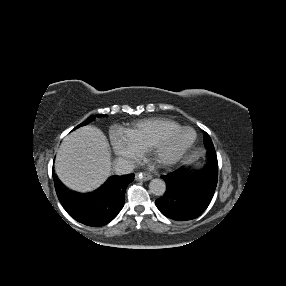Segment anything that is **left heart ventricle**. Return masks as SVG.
<instances>
[{
	"label": "left heart ventricle",
	"mask_w": 286,
	"mask_h": 286,
	"mask_svg": "<svg viewBox=\"0 0 286 286\" xmlns=\"http://www.w3.org/2000/svg\"><path fill=\"white\" fill-rule=\"evenodd\" d=\"M193 139V133L191 131H186L182 133L171 145L168 150V153H175L187 146Z\"/></svg>",
	"instance_id": "obj_1"
}]
</instances>
